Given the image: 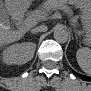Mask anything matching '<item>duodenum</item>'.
<instances>
[{"mask_svg":"<svg viewBox=\"0 0 91 91\" xmlns=\"http://www.w3.org/2000/svg\"><path fill=\"white\" fill-rule=\"evenodd\" d=\"M18 24L22 25L23 21L21 19L18 20Z\"/></svg>","mask_w":91,"mask_h":91,"instance_id":"1","label":"duodenum"}]
</instances>
